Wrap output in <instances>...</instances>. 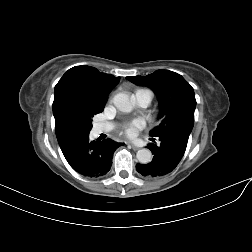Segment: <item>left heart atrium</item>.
Instances as JSON below:
<instances>
[{"label":"left heart atrium","mask_w":252,"mask_h":252,"mask_svg":"<svg viewBox=\"0 0 252 252\" xmlns=\"http://www.w3.org/2000/svg\"><path fill=\"white\" fill-rule=\"evenodd\" d=\"M144 126V121L140 118L133 119L120 125L119 129L127 137H134Z\"/></svg>","instance_id":"obj_1"}]
</instances>
